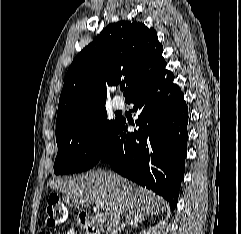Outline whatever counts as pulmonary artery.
I'll use <instances>...</instances> for the list:
<instances>
[{
	"instance_id": "obj_1",
	"label": "pulmonary artery",
	"mask_w": 241,
	"mask_h": 234,
	"mask_svg": "<svg viewBox=\"0 0 241 234\" xmlns=\"http://www.w3.org/2000/svg\"><path fill=\"white\" fill-rule=\"evenodd\" d=\"M113 107L120 110L124 107V101L120 96H115L112 101Z\"/></svg>"
}]
</instances>
